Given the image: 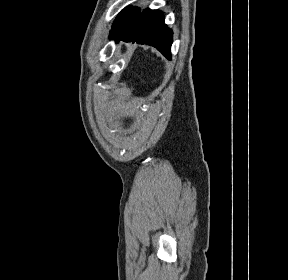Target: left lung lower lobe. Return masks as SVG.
Wrapping results in <instances>:
<instances>
[{
    "label": "left lung lower lobe",
    "instance_id": "left-lung-lower-lobe-1",
    "mask_svg": "<svg viewBox=\"0 0 288 280\" xmlns=\"http://www.w3.org/2000/svg\"><path fill=\"white\" fill-rule=\"evenodd\" d=\"M113 40L151 45L171 59L172 31L165 25L164 15L157 10L136 11Z\"/></svg>",
    "mask_w": 288,
    "mask_h": 280
}]
</instances>
